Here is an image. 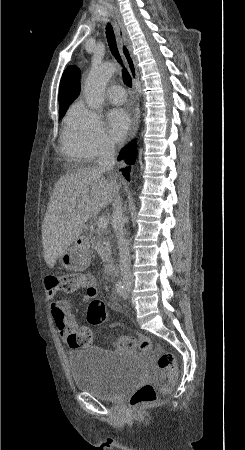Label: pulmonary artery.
Wrapping results in <instances>:
<instances>
[{"label":"pulmonary artery","mask_w":245,"mask_h":450,"mask_svg":"<svg viewBox=\"0 0 245 450\" xmlns=\"http://www.w3.org/2000/svg\"><path fill=\"white\" fill-rule=\"evenodd\" d=\"M107 98L115 104H123L126 101L124 88L118 84H112L107 90Z\"/></svg>","instance_id":"obj_1"}]
</instances>
